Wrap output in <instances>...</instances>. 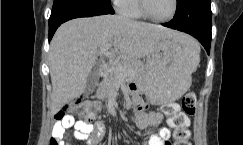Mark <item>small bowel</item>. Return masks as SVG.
Segmentation results:
<instances>
[{"label": "small bowel", "mask_w": 243, "mask_h": 145, "mask_svg": "<svg viewBox=\"0 0 243 145\" xmlns=\"http://www.w3.org/2000/svg\"><path fill=\"white\" fill-rule=\"evenodd\" d=\"M132 91L136 88L131 87ZM85 106L96 111H100L102 106L98 102H86ZM138 114L135 118L136 126L140 130L158 126L163 121V115L157 112H149L142 102H137ZM94 114L89 113L84 121H75L72 116H68L57 121L53 127L52 136L61 141L60 145H70L69 139L74 136L78 140H85L89 145H98L104 137L105 127L102 122L92 124ZM74 129V133L70 131ZM170 130L161 127L158 132L150 135L147 142L143 145H168Z\"/></svg>", "instance_id": "obj_1"}]
</instances>
